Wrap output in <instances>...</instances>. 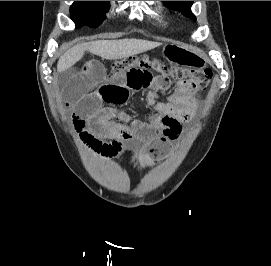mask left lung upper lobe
Listing matches in <instances>:
<instances>
[{"label": "left lung upper lobe", "mask_w": 271, "mask_h": 266, "mask_svg": "<svg viewBox=\"0 0 271 266\" xmlns=\"http://www.w3.org/2000/svg\"><path fill=\"white\" fill-rule=\"evenodd\" d=\"M167 6L172 9H177L181 11L185 16L196 20V17L192 14L190 8L193 4V1H163Z\"/></svg>", "instance_id": "left-lung-upper-lobe-1"}]
</instances>
